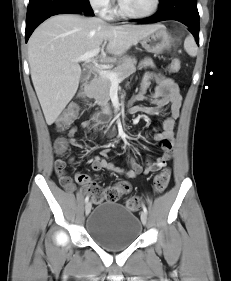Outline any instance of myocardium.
<instances>
[{"mask_svg": "<svg viewBox=\"0 0 231 281\" xmlns=\"http://www.w3.org/2000/svg\"><path fill=\"white\" fill-rule=\"evenodd\" d=\"M117 2H118L119 13L124 17L132 18V19L150 18L158 12L160 5H161V0H154V5L150 11H148L146 13H134L125 8L122 0H117Z\"/></svg>", "mask_w": 231, "mask_h": 281, "instance_id": "1", "label": "myocardium"}]
</instances>
